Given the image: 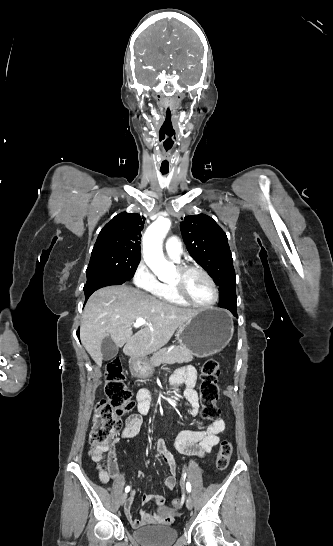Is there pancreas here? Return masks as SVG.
Returning <instances> with one entry per match:
<instances>
[{
    "label": "pancreas",
    "mask_w": 333,
    "mask_h": 546,
    "mask_svg": "<svg viewBox=\"0 0 333 546\" xmlns=\"http://www.w3.org/2000/svg\"><path fill=\"white\" fill-rule=\"evenodd\" d=\"M193 360V354L179 348H163L153 353L150 358L152 368L162 364L187 363Z\"/></svg>",
    "instance_id": "obj_1"
}]
</instances>
